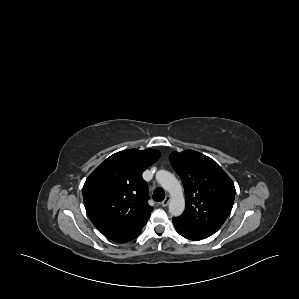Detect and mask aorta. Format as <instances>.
Wrapping results in <instances>:
<instances>
[{
    "label": "aorta",
    "mask_w": 299,
    "mask_h": 299,
    "mask_svg": "<svg viewBox=\"0 0 299 299\" xmlns=\"http://www.w3.org/2000/svg\"><path fill=\"white\" fill-rule=\"evenodd\" d=\"M156 180L170 194L169 212L172 216H180L185 209V199L180 182L166 170H159L156 173Z\"/></svg>",
    "instance_id": "762f6f07"
}]
</instances>
